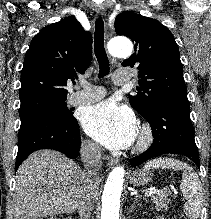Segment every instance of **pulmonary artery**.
I'll return each mask as SVG.
<instances>
[{
    "mask_svg": "<svg viewBox=\"0 0 211 219\" xmlns=\"http://www.w3.org/2000/svg\"><path fill=\"white\" fill-rule=\"evenodd\" d=\"M129 76L128 71H117L114 74V83L117 85L126 84L130 79ZM82 87V90L70 95L68 99V103L70 105H88L102 99L106 94L105 89L99 86H88L90 88H94L93 91H89L87 89V85L83 84Z\"/></svg>",
    "mask_w": 211,
    "mask_h": 219,
    "instance_id": "e3ab8cb5",
    "label": "pulmonary artery"
}]
</instances>
